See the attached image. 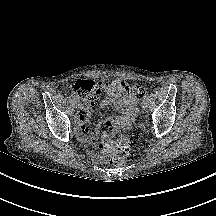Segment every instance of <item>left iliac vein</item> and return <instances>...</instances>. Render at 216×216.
Wrapping results in <instances>:
<instances>
[{
    "instance_id": "left-iliac-vein-1",
    "label": "left iliac vein",
    "mask_w": 216,
    "mask_h": 216,
    "mask_svg": "<svg viewBox=\"0 0 216 216\" xmlns=\"http://www.w3.org/2000/svg\"><path fill=\"white\" fill-rule=\"evenodd\" d=\"M148 104H149L148 99H144L141 103V107L143 109H146L148 107Z\"/></svg>"
}]
</instances>
